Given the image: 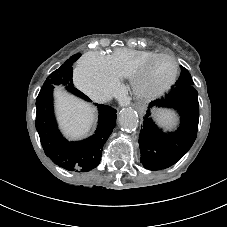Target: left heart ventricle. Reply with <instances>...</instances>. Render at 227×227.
<instances>
[{"instance_id":"obj_1","label":"left heart ventricle","mask_w":227,"mask_h":227,"mask_svg":"<svg viewBox=\"0 0 227 227\" xmlns=\"http://www.w3.org/2000/svg\"><path fill=\"white\" fill-rule=\"evenodd\" d=\"M172 64L168 59L156 60L148 69L145 84L147 86H157L165 83L172 74Z\"/></svg>"}]
</instances>
